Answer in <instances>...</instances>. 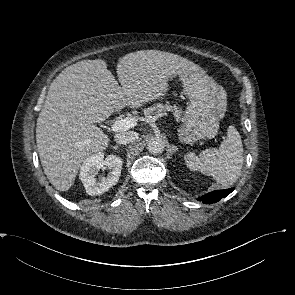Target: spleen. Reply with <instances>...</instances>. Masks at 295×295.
<instances>
[{"label": "spleen", "mask_w": 295, "mask_h": 295, "mask_svg": "<svg viewBox=\"0 0 295 295\" xmlns=\"http://www.w3.org/2000/svg\"><path fill=\"white\" fill-rule=\"evenodd\" d=\"M184 160L189 169L212 176L220 187L226 188L241 175L243 146L240 134L234 126H229L227 137L218 149H206L199 156L187 154Z\"/></svg>", "instance_id": "3e777b00"}]
</instances>
